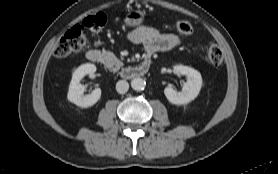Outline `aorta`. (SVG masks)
Here are the masks:
<instances>
[{
	"mask_svg": "<svg viewBox=\"0 0 278 174\" xmlns=\"http://www.w3.org/2000/svg\"><path fill=\"white\" fill-rule=\"evenodd\" d=\"M145 86L146 82L142 78H134L131 81V87L136 91L144 90Z\"/></svg>",
	"mask_w": 278,
	"mask_h": 174,
	"instance_id": "aorta-1",
	"label": "aorta"
}]
</instances>
